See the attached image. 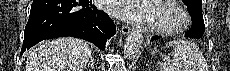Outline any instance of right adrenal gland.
I'll return each mask as SVG.
<instances>
[{"label":"right adrenal gland","mask_w":230,"mask_h":71,"mask_svg":"<svg viewBox=\"0 0 230 71\" xmlns=\"http://www.w3.org/2000/svg\"><path fill=\"white\" fill-rule=\"evenodd\" d=\"M89 68H91L92 70H95V66H94V58L93 56L90 57V61L87 64V66L84 68V70H88Z\"/></svg>","instance_id":"2a0ac1e0"}]
</instances>
